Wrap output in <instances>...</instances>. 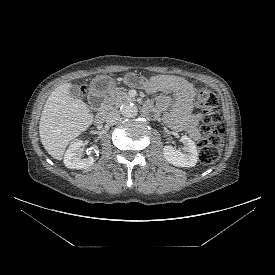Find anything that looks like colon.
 Masks as SVG:
<instances>
[{"label": "colon", "mask_w": 275, "mask_h": 275, "mask_svg": "<svg viewBox=\"0 0 275 275\" xmlns=\"http://www.w3.org/2000/svg\"><path fill=\"white\" fill-rule=\"evenodd\" d=\"M195 106L202 112L204 138L198 144L199 159L204 164L217 161L223 145L224 126L218 109L216 95L207 88H199L195 94Z\"/></svg>", "instance_id": "colon-1"}]
</instances>
